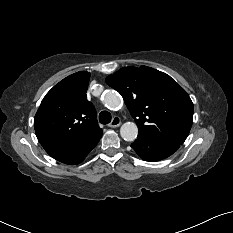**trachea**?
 I'll return each instance as SVG.
<instances>
[{"label":"trachea","instance_id":"1","mask_svg":"<svg viewBox=\"0 0 233 233\" xmlns=\"http://www.w3.org/2000/svg\"><path fill=\"white\" fill-rule=\"evenodd\" d=\"M111 114L107 111H102L100 114H99V121L100 123L102 124H108L111 122Z\"/></svg>","mask_w":233,"mask_h":233}]
</instances>
